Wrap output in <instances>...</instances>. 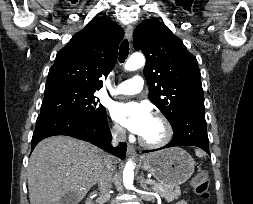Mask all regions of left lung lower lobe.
I'll return each instance as SVG.
<instances>
[{"mask_svg": "<svg viewBox=\"0 0 253 204\" xmlns=\"http://www.w3.org/2000/svg\"><path fill=\"white\" fill-rule=\"evenodd\" d=\"M205 109L194 108L180 115L172 125L174 136L170 143L156 149H164L174 146L191 145L203 149L210 155L209 139L206 129ZM143 151L144 153L156 151Z\"/></svg>", "mask_w": 253, "mask_h": 204, "instance_id": "1", "label": "left lung lower lobe"}]
</instances>
